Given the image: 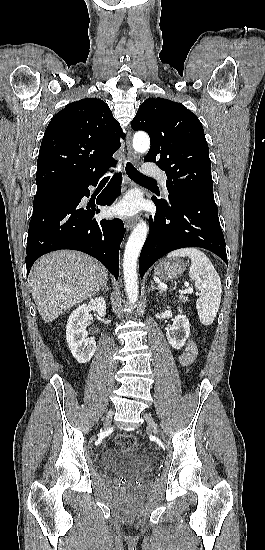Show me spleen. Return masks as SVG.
Masks as SVG:
<instances>
[{"label":"spleen","instance_id":"spleen-1","mask_svg":"<svg viewBox=\"0 0 265 550\" xmlns=\"http://www.w3.org/2000/svg\"><path fill=\"white\" fill-rule=\"evenodd\" d=\"M179 256H187L191 259L189 276L195 281V287L200 291L199 298L196 301L198 316L202 324L210 325L216 317L221 302L222 285L220 277L210 259L199 249H177L170 252L167 257Z\"/></svg>","mask_w":265,"mask_h":550}]
</instances>
